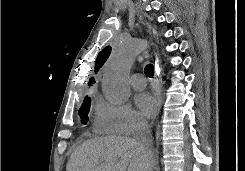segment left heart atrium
Wrapping results in <instances>:
<instances>
[{"instance_id": "left-heart-atrium-1", "label": "left heart atrium", "mask_w": 245, "mask_h": 171, "mask_svg": "<svg viewBox=\"0 0 245 171\" xmlns=\"http://www.w3.org/2000/svg\"><path fill=\"white\" fill-rule=\"evenodd\" d=\"M135 104L137 108L141 111L146 117H152L157 109L158 103L154 96L149 93H139L135 97Z\"/></svg>"}]
</instances>
